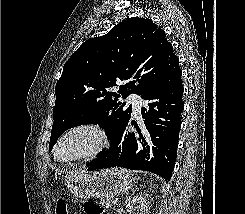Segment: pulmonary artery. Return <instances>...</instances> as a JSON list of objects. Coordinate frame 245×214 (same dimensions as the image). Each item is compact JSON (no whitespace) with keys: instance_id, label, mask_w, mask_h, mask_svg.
Returning a JSON list of instances; mask_svg holds the SVG:
<instances>
[{"instance_id":"obj_1","label":"pulmonary artery","mask_w":245,"mask_h":214,"mask_svg":"<svg viewBox=\"0 0 245 214\" xmlns=\"http://www.w3.org/2000/svg\"><path fill=\"white\" fill-rule=\"evenodd\" d=\"M127 102L132 105L133 113L135 115H139L140 114V108L142 106V99L138 95L132 94L127 98Z\"/></svg>"}]
</instances>
